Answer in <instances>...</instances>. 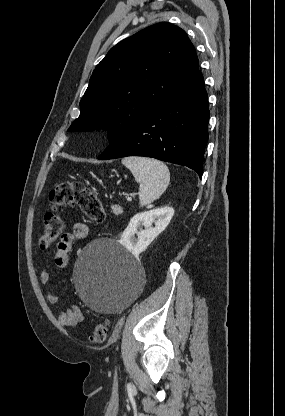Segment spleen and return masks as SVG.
Wrapping results in <instances>:
<instances>
[{
    "instance_id": "spleen-1",
    "label": "spleen",
    "mask_w": 285,
    "mask_h": 416,
    "mask_svg": "<svg viewBox=\"0 0 285 416\" xmlns=\"http://www.w3.org/2000/svg\"><path fill=\"white\" fill-rule=\"evenodd\" d=\"M122 164L130 170L135 182L141 186L139 188L140 208L158 200L168 188L170 172L163 162L154 158L130 156V158H123Z\"/></svg>"
}]
</instances>
